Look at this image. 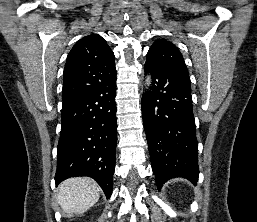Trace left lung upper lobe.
Wrapping results in <instances>:
<instances>
[{
  "label": "left lung upper lobe",
  "instance_id": "left-lung-upper-lobe-1",
  "mask_svg": "<svg viewBox=\"0 0 257 222\" xmlns=\"http://www.w3.org/2000/svg\"><path fill=\"white\" fill-rule=\"evenodd\" d=\"M147 61L162 66L182 78L190 80L182 54L170 41L165 39L155 41L148 51Z\"/></svg>",
  "mask_w": 257,
  "mask_h": 222
}]
</instances>
